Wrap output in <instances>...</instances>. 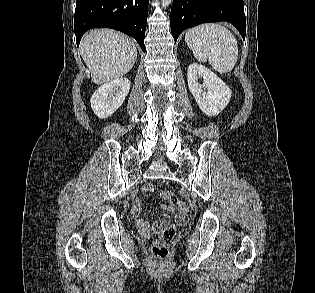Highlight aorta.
<instances>
[{
  "label": "aorta",
  "mask_w": 315,
  "mask_h": 293,
  "mask_svg": "<svg viewBox=\"0 0 315 293\" xmlns=\"http://www.w3.org/2000/svg\"><path fill=\"white\" fill-rule=\"evenodd\" d=\"M172 0H161V4L164 8L171 4Z\"/></svg>",
  "instance_id": "1"
}]
</instances>
